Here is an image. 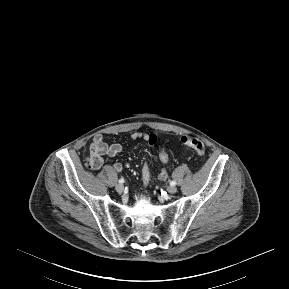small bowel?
<instances>
[{
  "label": "small bowel",
  "instance_id": "obj_1",
  "mask_svg": "<svg viewBox=\"0 0 289 289\" xmlns=\"http://www.w3.org/2000/svg\"><path fill=\"white\" fill-rule=\"evenodd\" d=\"M150 136L147 133L143 132H135L131 135L130 139L131 141H137L139 139H142L145 142L150 141ZM90 155L94 163V168H100L103 163V156H110L114 157L120 154L123 150V147L119 143H113V144H107L104 141V138L101 134L96 135L91 144H90ZM113 168L117 172H121L123 169V165L120 162H116L113 165ZM168 177V173L165 169H163L159 175L158 180L165 181Z\"/></svg>",
  "mask_w": 289,
  "mask_h": 289
}]
</instances>
